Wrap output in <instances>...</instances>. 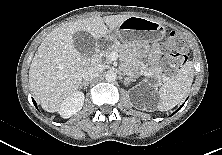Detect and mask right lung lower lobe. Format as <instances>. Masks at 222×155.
Masks as SVG:
<instances>
[{
  "label": "right lung lower lobe",
  "mask_w": 222,
  "mask_h": 155,
  "mask_svg": "<svg viewBox=\"0 0 222 155\" xmlns=\"http://www.w3.org/2000/svg\"><path fill=\"white\" fill-rule=\"evenodd\" d=\"M33 103H34L35 107L37 108V104H36V102L34 100H33Z\"/></svg>",
  "instance_id": "98d812e1"
}]
</instances>
